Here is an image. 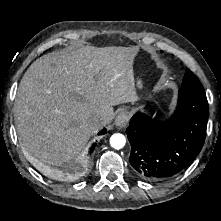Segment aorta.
Here are the masks:
<instances>
[{"instance_id":"obj_1","label":"aorta","mask_w":221,"mask_h":221,"mask_svg":"<svg viewBox=\"0 0 221 221\" xmlns=\"http://www.w3.org/2000/svg\"><path fill=\"white\" fill-rule=\"evenodd\" d=\"M110 144L114 149H121L126 144V138L123 134L115 133L110 138Z\"/></svg>"}]
</instances>
